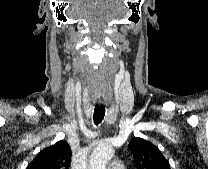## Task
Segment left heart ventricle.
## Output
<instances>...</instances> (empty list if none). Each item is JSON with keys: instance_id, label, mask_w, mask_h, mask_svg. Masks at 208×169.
Segmentation results:
<instances>
[{"instance_id": "left-heart-ventricle-1", "label": "left heart ventricle", "mask_w": 208, "mask_h": 169, "mask_svg": "<svg viewBox=\"0 0 208 169\" xmlns=\"http://www.w3.org/2000/svg\"><path fill=\"white\" fill-rule=\"evenodd\" d=\"M102 169H108V167L106 166V167H103Z\"/></svg>"}]
</instances>
